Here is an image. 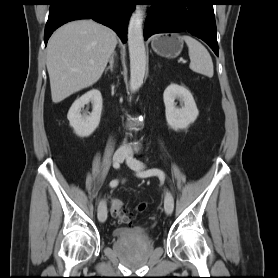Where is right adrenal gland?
<instances>
[{
  "label": "right adrenal gland",
  "instance_id": "2a0ac1e0",
  "mask_svg": "<svg viewBox=\"0 0 278 278\" xmlns=\"http://www.w3.org/2000/svg\"><path fill=\"white\" fill-rule=\"evenodd\" d=\"M116 52H113L110 59H109V66L106 68L105 73L110 70L113 72V67H114V60H115Z\"/></svg>",
  "mask_w": 278,
  "mask_h": 278
}]
</instances>
